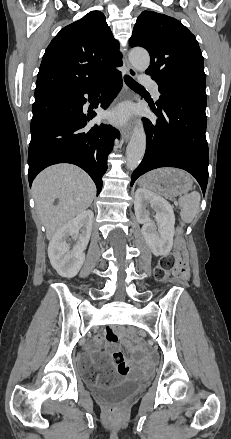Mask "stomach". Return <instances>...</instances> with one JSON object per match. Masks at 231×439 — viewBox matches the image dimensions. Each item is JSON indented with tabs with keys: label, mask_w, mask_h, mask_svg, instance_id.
<instances>
[{
	"label": "stomach",
	"mask_w": 231,
	"mask_h": 439,
	"mask_svg": "<svg viewBox=\"0 0 231 439\" xmlns=\"http://www.w3.org/2000/svg\"><path fill=\"white\" fill-rule=\"evenodd\" d=\"M140 183L165 197L186 194L192 188V179L184 171L174 168L154 170L140 180Z\"/></svg>",
	"instance_id": "1"
}]
</instances>
